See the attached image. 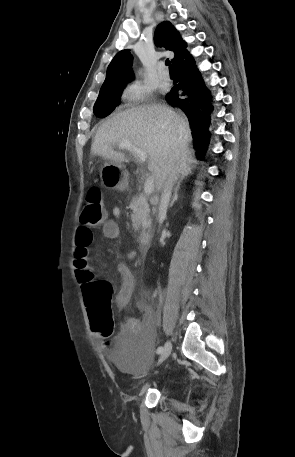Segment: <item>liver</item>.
Instances as JSON below:
<instances>
[{
  "mask_svg": "<svg viewBox=\"0 0 295 457\" xmlns=\"http://www.w3.org/2000/svg\"><path fill=\"white\" fill-rule=\"evenodd\" d=\"M129 141L148 156V170L160 190L166 176L175 168L177 175L188 176L196 163L189 148L191 131L187 120L164 105H144L127 109L104 122L91 146L94 155L115 162L130 161L113 146Z\"/></svg>",
  "mask_w": 295,
  "mask_h": 457,
  "instance_id": "1",
  "label": "liver"
}]
</instances>
